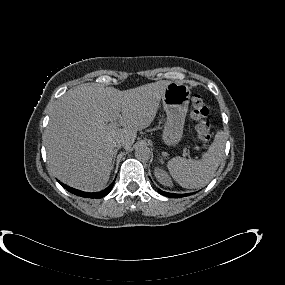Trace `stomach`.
<instances>
[{
  "label": "stomach",
  "instance_id": "stomach-1",
  "mask_svg": "<svg viewBox=\"0 0 285 285\" xmlns=\"http://www.w3.org/2000/svg\"><path fill=\"white\" fill-rule=\"evenodd\" d=\"M190 95L189 87L179 82H170L162 95L166 120L161 138L168 146H176L183 138Z\"/></svg>",
  "mask_w": 285,
  "mask_h": 285
}]
</instances>
